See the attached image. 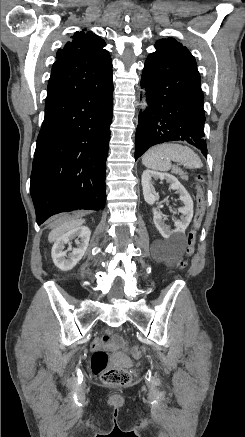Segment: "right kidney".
Wrapping results in <instances>:
<instances>
[{"label": "right kidney", "instance_id": "ca27d5eb", "mask_svg": "<svg viewBox=\"0 0 245 437\" xmlns=\"http://www.w3.org/2000/svg\"><path fill=\"white\" fill-rule=\"evenodd\" d=\"M90 235L91 231L88 227L79 226L59 237L51 252L55 266L62 271L71 270L84 256ZM72 240H75L76 248L72 247ZM66 244H68V248L64 250Z\"/></svg>", "mask_w": 245, "mask_h": 437}]
</instances>
